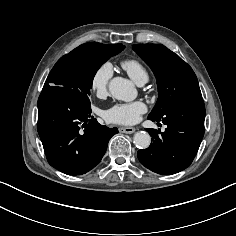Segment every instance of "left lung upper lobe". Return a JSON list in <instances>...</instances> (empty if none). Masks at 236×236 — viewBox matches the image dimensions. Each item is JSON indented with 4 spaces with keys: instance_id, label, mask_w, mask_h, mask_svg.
Returning a JSON list of instances; mask_svg holds the SVG:
<instances>
[{
    "instance_id": "obj_1",
    "label": "left lung upper lobe",
    "mask_w": 236,
    "mask_h": 236,
    "mask_svg": "<svg viewBox=\"0 0 236 236\" xmlns=\"http://www.w3.org/2000/svg\"><path fill=\"white\" fill-rule=\"evenodd\" d=\"M133 49L150 66L157 80L159 97L150 117L161 118L168 107L177 101L201 96L192 68L167 47L160 44H136Z\"/></svg>"
}]
</instances>
